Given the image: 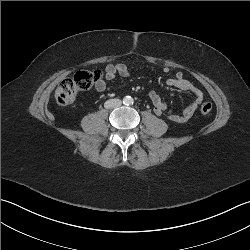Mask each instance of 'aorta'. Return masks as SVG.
<instances>
[{
	"mask_svg": "<svg viewBox=\"0 0 250 250\" xmlns=\"http://www.w3.org/2000/svg\"><path fill=\"white\" fill-rule=\"evenodd\" d=\"M124 103H125L126 105L132 104V103H133V98H132L131 96H126V97L124 98Z\"/></svg>",
	"mask_w": 250,
	"mask_h": 250,
	"instance_id": "1",
	"label": "aorta"
}]
</instances>
